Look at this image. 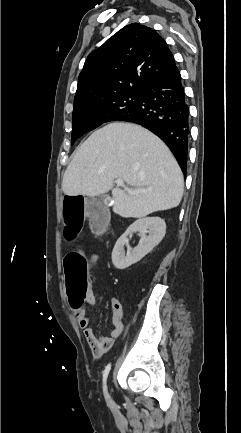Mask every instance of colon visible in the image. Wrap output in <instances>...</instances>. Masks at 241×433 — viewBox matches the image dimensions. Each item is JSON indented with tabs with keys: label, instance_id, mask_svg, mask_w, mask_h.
<instances>
[{
	"label": "colon",
	"instance_id": "5ec220e1",
	"mask_svg": "<svg viewBox=\"0 0 241 433\" xmlns=\"http://www.w3.org/2000/svg\"><path fill=\"white\" fill-rule=\"evenodd\" d=\"M65 206L62 209L65 221L64 237L70 242L80 239L79 229L85 228V215L92 214L91 224L96 231H101L105 225V214H109V205H103L102 200H84V197L73 198L71 192L64 193ZM60 266L65 271V287L69 304L74 312L83 310V302L90 293L87 260L80 252H71L66 258L60 259Z\"/></svg>",
	"mask_w": 241,
	"mask_h": 433
}]
</instances>
